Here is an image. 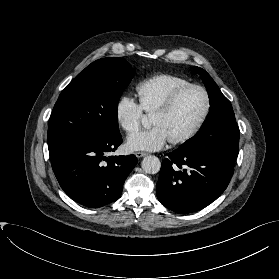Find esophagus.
Returning <instances> with one entry per match:
<instances>
[{
  "instance_id": "esophagus-1",
  "label": "esophagus",
  "mask_w": 279,
  "mask_h": 279,
  "mask_svg": "<svg viewBox=\"0 0 279 279\" xmlns=\"http://www.w3.org/2000/svg\"><path fill=\"white\" fill-rule=\"evenodd\" d=\"M137 158H141V157H145L146 155H148V153L146 152H136L135 153Z\"/></svg>"
}]
</instances>
